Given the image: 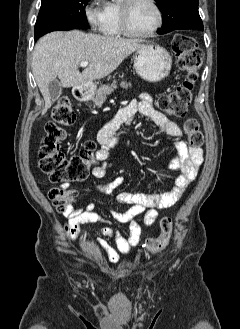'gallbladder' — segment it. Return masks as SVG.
<instances>
[{
    "instance_id": "bac80fb5",
    "label": "gallbladder",
    "mask_w": 240,
    "mask_h": 329,
    "mask_svg": "<svg viewBox=\"0 0 240 329\" xmlns=\"http://www.w3.org/2000/svg\"><path fill=\"white\" fill-rule=\"evenodd\" d=\"M62 85L59 80L55 79L49 83L48 90L52 102L56 101L62 93Z\"/></svg>"
}]
</instances>
